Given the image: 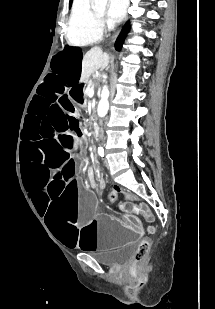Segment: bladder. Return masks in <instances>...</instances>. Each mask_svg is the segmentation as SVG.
I'll return each instance as SVG.
<instances>
[{
    "mask_svg": "<svg viewBox=\"0 0 215 309\" xmlns=\"http://www.w3.org/2000/svg\"><path fill=\"white\" fill-rule=\"evenodd\" d=\"M136 247L127 245L115 252L100 254L97 261L107 267L118 268L128 264L136 254Z\"/></svg>",
    "mask_w": 215,
    "mask_h": 309,
    "instance_id": "31cf9c89",
    "label": "bladder"
}]
</instances>
